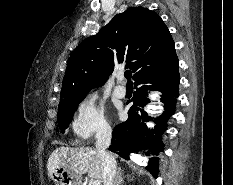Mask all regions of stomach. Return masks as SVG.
I'll list each match as a JSON object with an SVG mask.
<instances>
[{
	"instance_id": "1",
	"label": "stomach",
	"mask_w": 233,
	"mask_h": 185,
	"mask_svg": "<svg viewBox=\"0 0 233 185\" xmlns=\"http://www.w3.org/2000/svg\"><path fill=\"white\" fill-rule=\"evenodd\" d=\"M56 185H80L81 177L64 168H56L51 176Z\"/></svg>"
}]
</instances>
